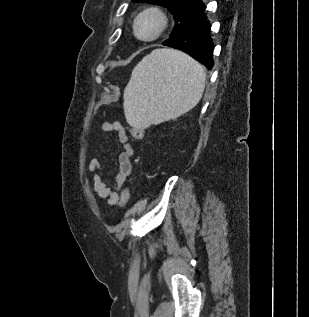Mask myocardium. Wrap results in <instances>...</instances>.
Instances as JSON below:
<instances>
[{"label": "myocardium", "instance_id": "myocardium-1", "mask_svg": "<svg viewBox=\"0 0 309 317\" xmlns=\"http://www.w3.org/2000/svg\"><path fill=\"white\" fill-rule=\"evenodd\" d=\"M145 19H152L155 22V27L149 35H142L140 25ZM168 25V19L164 12L155 7H150L140 12L134 21V33L143 41H153L159 38L165 31Z\"/></svg>", "mask_w": 309, "mask_h": 317}]
</instances>
